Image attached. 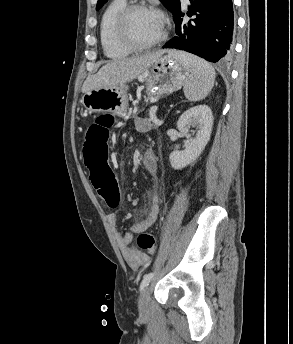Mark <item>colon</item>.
Here are the masks:
<instances>
[{
	"instance_id": "obj_1",
	"label": "colon",
	"mask_w": 293,
	"mask_h": 344,
	"mask_svg": "<svg viewBox=\"0 0 293 344\" xmlns=\"http://www.w3.org/2000/svg\"><path fill=\"white\" fill-rule=\"evenodd\" d=\"M114 123V117L110 114L98 116L88 125L83 144V156L90 170V179L110 208H116L120 201L119 186L109 166V140ZM155 248L156 239L151 233L142 232L138 235L137 250L141 254L151 255Z\"/></svg>"
}]
</instances>
